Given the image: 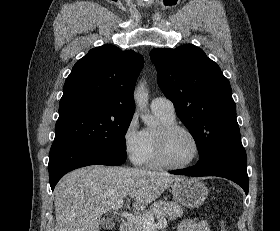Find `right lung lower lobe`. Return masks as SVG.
<instances>
[{"label": "right lung lower lobe", "instance_id": "obj_1", "mask_svg": "<svg viewBox=\"0 0 280 231\" xmlns=\"http://www.w3.org/2000/svg\"><path fill=\"white\" fill-rule=\"evenodd\" d=\"M126 159L109 156L94 149L70 143L53 144L49 154V181L52 191L55 185L69 171L89 165L118 166Z\"/></svg>", "mask_w": 280, "mask_h": 231}]
</instances>
